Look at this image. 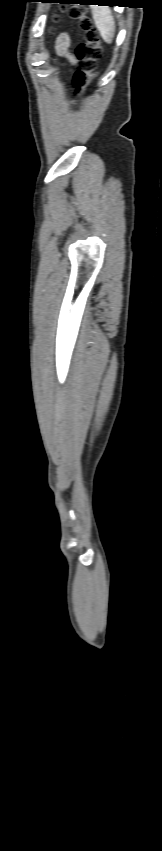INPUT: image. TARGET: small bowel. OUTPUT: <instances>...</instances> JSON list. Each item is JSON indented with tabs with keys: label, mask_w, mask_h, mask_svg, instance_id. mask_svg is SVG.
Listing matches in <instances>:
<instances>
[{
	"label": "small bowel",
	"mask_w": 162,
	"mask_h": 851,
	"mask_svg": "<svg viewBox=\"0 0 162 851\" xmlns=\"http://www.w3.org/2000/svg\"><path fill=\"white\" fill-rule=\"evenodd\" d=\"M71 44V39L67 34H63L58 37L56 41V51L59 55L67 58L71 63H75V58L70 53L69 47Z\"/></svg>",
	"instance_id": "obj_1"
}]
</instances>
